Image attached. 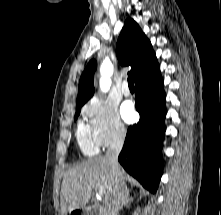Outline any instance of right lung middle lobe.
Returning <instances> with one entry per match:
<instances>
[{
  "label": "right lung middle lobe",
  "mask_w": 221,
  "mask_h": 215,
  "mask_svg": "<svg viewBox=\"0 0 221 215\" xmlns=\"http://www.w3.org/2000/svg\"><path fill=\"white\" fill-rule=\"evenodd\" d=\"M83 106V104H80V105H77L76 108H77V112H76V115H75V120L77 119L79 113H80V109L81 107Z\"/></svg>",
  "instance_id": "1"
}]
</instances>
